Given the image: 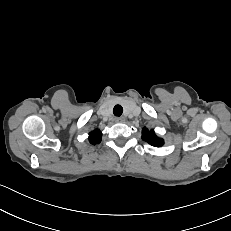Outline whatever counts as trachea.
<instances>
[{
    "mask_svg": "<svg viewBox=\"0 0 231 231\" xmlns=\"http://www.w3.org/2000/svg\"><path fill=\"white\" fill-rule=\"evenodd\" d=\"M113 113L115 116H121L123 113V108L121 105H115L114 109H113Z\"/></svg>",
    "mask_w": 231,
    "mask_h": 231,
    "instance_id": "1",
    "label": "trachea"
}]
</instances>
